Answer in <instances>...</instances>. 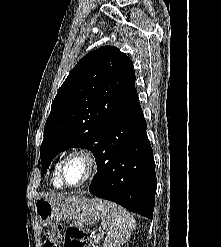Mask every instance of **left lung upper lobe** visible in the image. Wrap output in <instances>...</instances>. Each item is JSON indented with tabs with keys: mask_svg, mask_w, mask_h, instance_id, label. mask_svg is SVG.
<instances>
[{
	"mask_svg": "<svg viewBox=\"0 0 221 247\" xmlns=\"http://www.w3.org/2000/svg\"><path fill=\"white\" fill-rule=\"evenodd\" d=\"M140 108L131 59L113 46L91 51L69 73L52 103L40 147L43 171L71 147L96 156L104 128Z\"/></svg>",
	"mask_w": 221,
	"mask_h": 247,
	"instance_id": "obj_1",
	"label": "left lung upper lobe"
}]
</instances>
